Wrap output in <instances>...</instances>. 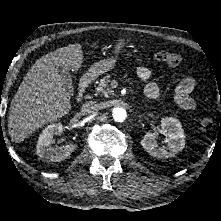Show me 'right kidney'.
<instances>
[{"label": "right kidney", "instance_id": "obj_1", "mask_svg": "<svg viewBox=\"0 0 221 221\" xmlns=\"http://www.w3.org/2000/svg\"><path fill=\"white\" fill-rule=\"evenodd\" d=\"M63 132L61 123H53L48 125L39 135L36 146L37 155L49 162H59L68 158L77 148L76 144H67L60 147H53V137Z\"/></svg>", "mask_w": 221, "mask_h": 221}]
</instances>
